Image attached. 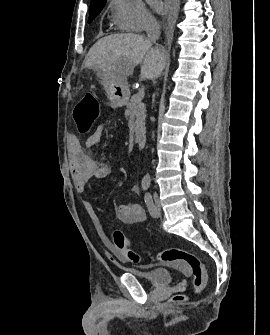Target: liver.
<instances>
[{
	"mask_svg": "<svg viewBox=\"0 0 270 335\" xmlns=\"http://www.w3.org/2000/svg\"><path fill=\"white\" fill-rule=\"evenodd\" d=\"M150 40L139 34H112L90 48L84 68H93L101 78L127 82L135 66L142 64L141 76L155 80L164 70L162 48H151Z\"/></svg>",
	"mask_w": 270,
	"mask_h": 335,
	"instance_id": "liver-1",
	"label": "liver"
}]
</instances>
